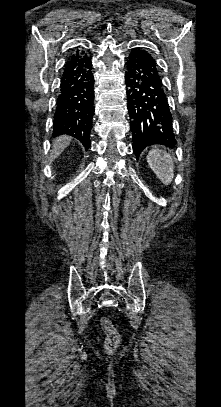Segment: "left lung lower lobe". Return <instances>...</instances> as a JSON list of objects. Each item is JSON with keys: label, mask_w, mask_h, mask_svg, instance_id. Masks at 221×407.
Wrapping results in <instances>:
<instances>
[{"label": "left lung lower lobe", "mask_w": 221, "mask_h": 407, "mask_svg": "<svg viewBox=\"0 0 221 407\" xmlns=\"http://www.w3.org/2000/svg\"><path fill=\"white\" fill-rule=\"evenodd\" d=\"M125 75L133 150L138 157L152 144L173 147L176 140L172 115L159 67L145 48H135L127 60Z\"/></svg>", "instance_id": "obj_1"}]
</instances>
